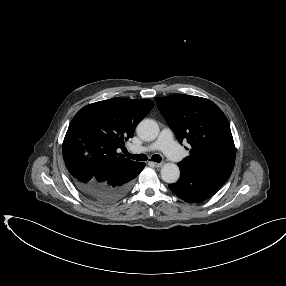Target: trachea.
<instances>
[{"instance_id": "1", "label": "trachea", "mask_w": 286, "mask_h": 286, "mask_svg": "<svg viewBox=\"0 0 286 286\" xmlns=\"http://www.w3.org/2000/svg\"><path fill=\"white\" fill-rule=\"evenodd\" d=\"M124 155L128 158H131L133 160H137V161H146L147 160V156L145 154H131L129 153L127 150L124 151ZM152 161L154 162H161L162 158L160 157V155H153L152 156Z\"/></svg>"}]
</instances>
